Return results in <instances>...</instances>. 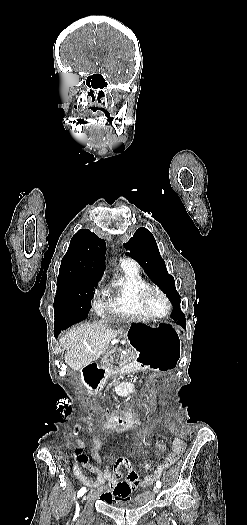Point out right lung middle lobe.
<instances>
[{
	"label": "right lung middle lobe",
	"mask_w": 247,
	"mask_h": 525,
	"mask_svg": "<svg viewBox=\"0 0 247 525\" xmlns=\"http://www.w3.org/2000/svg\"><path fill=\"white\" fill-rule=\"evenodd\" d=\"M100 277L87 272H59L54 299V326L69 327L87 318L93 290Z\"/></svg>",
	"instance_id": "right-lung-middle-lobe-1"
}]
</instances>
